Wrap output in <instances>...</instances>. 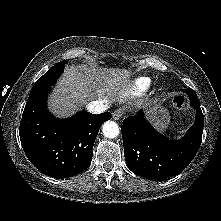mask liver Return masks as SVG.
Here are the masks:
<instances>
[{
    "label": "liver",
    "mask_w": 221,
    "mask_h": 221,
    "mask_svg": "<svg viewBox=\"0 0 221 221\" xmlns=\"http://www.w3.org/2000/svg\"><path fill=\"white\" fill-rule=\"evenodd\" d=\"M131 72L125 69L67 67L48 99L57 117H68L92 100L113 102L123 95Z\"/></svg>",
    "instance_id": "liver-1"
}]
</instances>
